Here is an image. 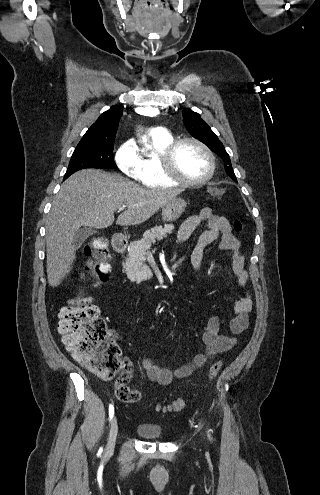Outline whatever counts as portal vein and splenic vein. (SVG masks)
Returning <instances> with one entry per match:
<instances>
[{
  "instance_id": "18ae733b",
  "label": "portal vein and splenic vein",
  "mask_w": 320,
  "mask_h": 495,
  "mask_svg": "<svg viewBox=\"0 0 320 495\" xmlns=\"http://www.w3.org/2000/svg\"><path fill=\"white\" fill-rule=\"evenodd\" d=\"M124 208H125L124 206H123V207H120V208L118 209V211H123V210H124Z\"/></svg>"
}]
</instances>
